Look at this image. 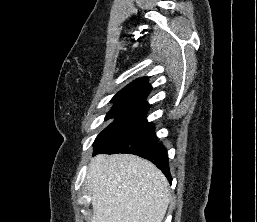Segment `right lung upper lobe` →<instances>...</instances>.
I'll return each instance as SVG.
<instances>
[{
    "instance_id": "right-lung-upper-lobe-1",
    "label": "right lung upper lobe",
    "mask_w": 257,
    "mask_h": 222,
    "mask_svg": "<svg viewBox=\"0 0 257 222\" xmlns=\"http://www.w3.org/2000/svg\"><path fill=\"white\" fill-rule=\"evenodd\" d=\"M151 89L152 87L147 83V77H143L128 84L121 91H119L111 101H144Z\"/></svg>"
}]
</instances>
